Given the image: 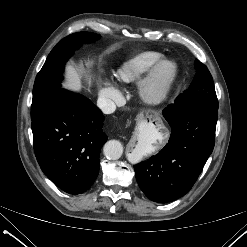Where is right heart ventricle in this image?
Listing matches in <instances>:
<instances>
[{
  "mask_svg": "<svg viewBox=\"0 0 247 247\" xmlns=\"http://www.w3.org/2000/svg\"><path fill=\"white\" fill-rule=\"evenodd\" d=\"M161 58L162 54L155 51L136 53L121 63L116 71V77L123 84L136 82Z\"/></svg>",
  "mask_w": 247,
  "mask_h": 247,
  "instance_id": "right-heart-ventricle-1",
  "label": "right heart ventricle"
}]
</instances>
